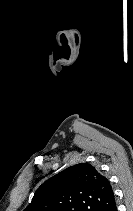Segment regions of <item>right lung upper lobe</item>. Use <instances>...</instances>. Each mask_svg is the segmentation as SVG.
I'll return each instance as SVG.
<instances>
[{"mask_svg":"<svg viewBox=\"0 0 133 211\" xmlns=\"http://www.w3.org/2000/svg\"><path fill=\"white\" fill-rule=\"evenodd\" d=\"M110 182L92 165L80 163L44 182L24 211H111Z\"/></svg>","mask_w":133,"mask_h":211,"instance_id":"obj_1","label":"right lung upper lobe"}]
</instances>
